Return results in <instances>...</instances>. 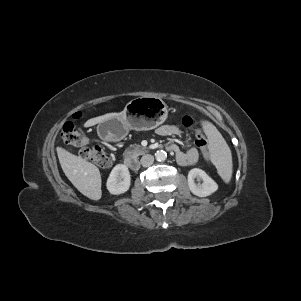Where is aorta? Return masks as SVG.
<instances>
[{
    "label": "aorta",
    "instance_id": "762f6f07",
    "mask_svg": "<svg viewBox=\"0 0 301 301\" xmlns=\"http://www.w3.org/2000/svg\"><path fill=\"white\" fill-rule=\"evenodd\" d=\"M155 158L159 162L165 161L167 158V153L164 150H159L155 153Z\"/></svg>",
    "mask_w": 301,
    "mask_h": 301
}]
</instances>
